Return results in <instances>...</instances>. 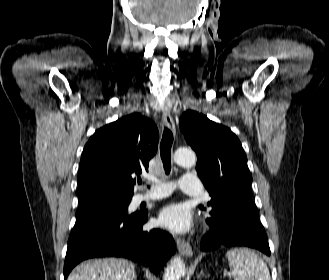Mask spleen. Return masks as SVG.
<instances>
[{
	"label": "spleen",
	"instance_id": "obj_1",
	"mask_svg": "<svg viewBox=\"0 0 329 280\" xmlns=\"http://www.w3.org/2000/svg\"><path fill=\"white\" fill-rule=\"evenodd\" d=\"M234 280H271L265 262L248 248H234L226 253Z\"/></svg>",
	"mask_w": 329,
	"mask_h": 280
}]
</instances>
